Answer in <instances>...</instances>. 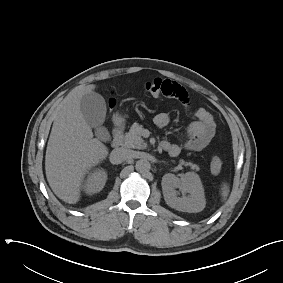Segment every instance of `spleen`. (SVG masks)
Segmentation results:
<instances>
[{
	"instance_id": "3e777b00",
	"label": "spleen",
	"mask_w": 283,
	"mask_h": 283,
	"mask_svg": "<svg viewBox=\"0 0 283 283\" xmlns=\"http://www.w3.org/2000/svg\"><path fill=\"white\" fill-rule=\"evenodd\" d=\"M228 194H229V186L226 183H223L221 187L222 200H225Z\"/></svg>"
}]
</instances>
